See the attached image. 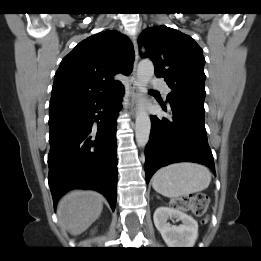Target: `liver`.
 I'll list each match as a JSON object with an SVG mask.
<instances>
[{
	"label": "liver",
	"mask_w": 261,
	"mask_h": 261,
	"mask_svg": "<svg viewBox=\"0 0 261 261\" xmlns=\"http://www.w3.org/2000/svg\"><path fill=\"white\" fill-rule=\"evenodd\" d=\"M103 197L93 191H73L62 198L58 205L60 223L72 235L87 230L100 216Z\"/></svg>",
	"instance_id": "6515ba94"
}]
</instances>
